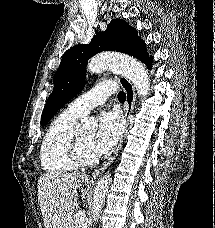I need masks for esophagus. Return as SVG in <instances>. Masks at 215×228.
<instances>
[{
    "instance_id": "34e87169",
    "label": "esophagus",
    "mask_w": 215,
    "mask_h": 228,
    "mask_svg": "<svg viewBox=\"0 0 215 228\" xmlns=\"http://www.w3.org/2000/svg\"><path fill=\"white\" fill-rule=\"evenodd\" d=\"M118 82L120 84V86L123 88V90L126 93V102H125V108H124V115L126 118V122L127 125L130 124V119H131V115L132 112L134 110V105H135V90L134 87L131 83L130 80H128V78H126L125 76H121L118 79ZM122 147V142L119 143L115 153L109 158V160H107L103 166H101L98 170H95L92 173V176L95 178L98 175H100L101 172H103L113 161L115 155L118 154V152L120 151Z\"/></svg>"
}]
</instances>
